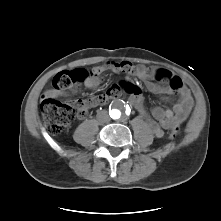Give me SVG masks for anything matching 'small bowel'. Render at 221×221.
Returning a JSON list of instances; mask_svg holds the SVG:
<instances>
[{
  "instance_id": "small-bowel-1",
  "label": "small bowel",
  "mask_w": 221,
  "mask_h": 221,
  "mask_svg": "<svg viewBox=\"0 0 221 221\" xmlns=\"http://www.w3.org/2000/svg\"><path fill=\"white\" fill-rule=\"evenodd\" d=\"M105 71L134 72L145 82L147 89L151 93L159 95L163 101H166L170 95H177L178 100L172 109L154 107L150 112H148L144 104L143 96L140 93L130 94L131 104L137 110L140 117L147 123L151 132L155 136L161 137L164 130L178 127L187 119L193 103L192 96L188 88L183 87L181 90L175 92L170 87L161 86L152 81L144 72L142 67H133L131 63L126 61H108L103 65L95 66L91 70L89 76L84 79V85L88 89L97 90L102 83L101 74ZM129 84V79H124L120 84L113 85L105 95L73 100L70 105L76 109L77 116L79 118H85L90 109L106 104L110 100L119 97L122 91L126 92V87ZM46 94H51L55 97L67 95L66 92H56L51 89H49Z\"/></svg>"
}]
</instances>
